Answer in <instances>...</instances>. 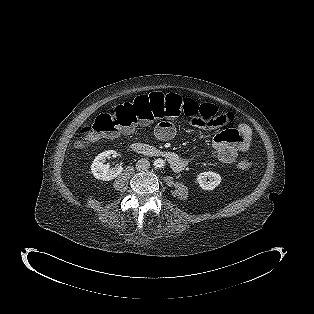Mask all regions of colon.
I'll return each mask as SVG.
<instances>
[{"label":"colon","mask_w":314,"mask_h":314,"mask_svg":"<svg viewBox=\"0 0 314 314\" xmlns=\"http://www.w3.org/2000/svg\"><path fill=\"white\" fill-rule=\"evenodd\" d=\"M216 113V108L211 104H200L177 94L141 95L113 111L97 115L91 124L82 129L78 146L87 147L101 138L115 137L120 132L131 131L137 125H146L160 118L211 119ZM251 165L248 157L235 161V166L240 170H247Z\"/></svg>","instance_id":"5ec220e1"}]
</instances>
